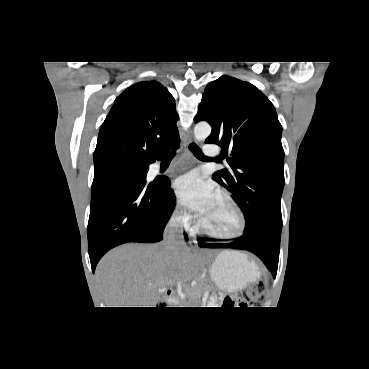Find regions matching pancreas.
Returning a JSON list of instances; mask_svg holds the SVG:
<instances>
[{"instance_id": "obj_1", "label": "pancreas", "mask_w": 369, "mask_h": 369, "mask_svg": "<svg viewBox=\"0 0 369 369\" xmlns=\"http://www.w3.org/2000/svg\"><path fill=\"white\" fill-rule=\"evenodd\" d=\"M200 295H201V294L198 292V293L196 294V297H195V298H197V299H198V298H200Z\"/></svg>"}]
</instances>
